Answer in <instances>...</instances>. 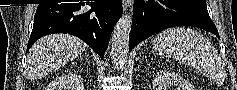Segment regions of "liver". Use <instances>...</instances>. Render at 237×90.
Masks as SVG:
<instances>
[{"mask_svg": "<svg viewBox=\"0 0 237 90\" xmlns=\"http://www.w3.org/2000/svg\"><path fill=\"white\" fill-rule=\"evenodd\" d=\"M87 48L85 42L69 34H51L33 44L28 54L29 76H47L81 56Z\"/></svg>", "mask_w": 237, "mask_h": 90, "instance_id": "liver-1", "label": "liver"}]
</instances>
